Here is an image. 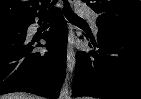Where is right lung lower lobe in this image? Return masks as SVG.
Instances as JSON below:
<instances>
[{
  "label": "right lung lower lobe",
  "instance_id": "98d812e1",
  "mask_svg": "<svg viewBox=\"0 0 141 99\" xmlns=\"http://www.w3.org/2000/svg\"><path fill=\"white\" fill-rule=\"evenodd\" d=\"M52 19L42 35L46 53L33 52L42 45L26 37L34 18L19 21L18 28L0 29V95L23 91L57 98L66 70L67 25L60 10L52 11Z\"/></svg>",
  "mask_w": 141,
  "mask_h": 99
}]
</instances>
